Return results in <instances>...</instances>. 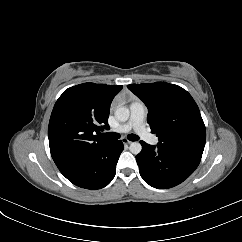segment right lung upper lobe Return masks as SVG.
<instances>
[{"mask_svg":"<svg viewBox=\"0 0 242 242\" xmlns=\"http://www.w3.org/2000/svg\"><path fill=\"white\" fill-rule=\"evenodd\" d=\"M121 89L117 85L83 83L62 93L48 127L51 156L59 170L110 142L100 138V131L109 129L110 104Z\"/></svg>","mask_w":242,"mask_h":242,"instance_id":"right-lung-upper-lobe-1","label":"right lung upper lobe"}]
</instances>
